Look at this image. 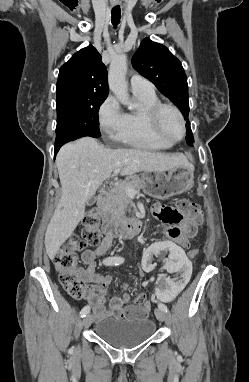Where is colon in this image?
<instances>
[{
    "mask_svg": "<svg viewBox=\"0 0 249 382\" xmlns=\"http://www.w3.org/2000/svg\"><path fill=\"white\" fill-rule=\"evenodd\" d=\"M177 207L187 216L195 218L201 222L202 213L198 206L188 199H180L177 203ZM172 208V207H168ZM166 216H169L168 210L164 212ZM85 230L83 237L85 242H81L76 238L68 240L65 245L58 250L53 256V264L55 270L60 274V282L65 291L75 299H81L86 293V284L81 279L78 273V257L77 251L85 246V243L90 245H97L101 240V232L98 227L99 217L98 211L92 210L89 212L83 220ZM199 250L194 248L189 251L191 258L197 257ZM135 304L138 306H148L146 295L144 293L138 294L135 299Z\"/></svg>",
    "mask_w": 249,
    "mask_h": 382,
    "instance_id": "1",
    "label": "colon"
}]
</instances>
